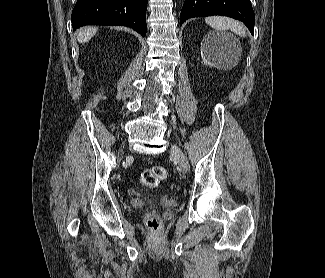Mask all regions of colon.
<instances>
[{
	"instance_id": "1",
	"label": "colon",
	"mask_w": 325,
	"mask_h": 278,
	"mask_svg": "<svg viewBox=\"0 0 325 278\" xmlns=\"http://www.w3.org/2000/svg\"><path fill=\"white\" fill-rule=\"evenodd\" d=\"M168 169L164 166H153L143 171L141 175V182L146 187H154L159 181L165 180L168 177ZM145 223L151 232H158L160 230V218L154 213L150 212L146 216Z\"/></svg>"
}]
</instances>
